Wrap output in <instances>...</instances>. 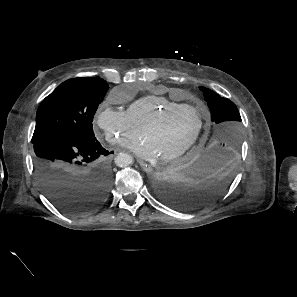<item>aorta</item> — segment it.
I'll list each match as a JSON object with an SVG mask.
<instances>
[{
    "label": "aorta",
    "mask_w": 297,
    "mask_h": 297,
    "mask_svg": "<svg viewBox=\"0 0 297 297\" xmlns=\"http://www.w3.org/2000/svg\"><path fill=\"white\" fill-rule=\"evenodd\" d=\"M115 163L119 167H125L133 163V158L127 153H119L115 157Z\"/></svg>",
    "instance_id": "aorta-1"
}]
</instances>
